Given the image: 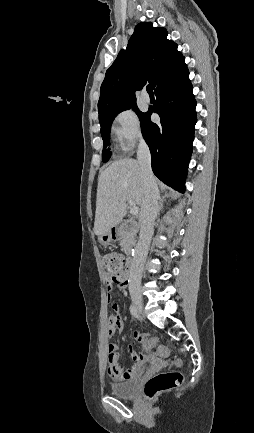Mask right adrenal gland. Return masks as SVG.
Listing matches in <instances>:
<instances>
[{
    "label": "right adrenal gland",
    "mask_w": 254,
    "mask_h": 433,
    "mask_svg": "<svg viewBox=\"0 0 254 433\" xmlns=\"http://www.w3.org/2000/svg\"><path fill=\"white\" fill-rule=\"evenodd\" d=\"M166 197L167 196H163L162 198H160V202H159V206H158V212H160L163 209V204L166 201Z\"/></svg>",
    "instance_id": "obj_1"
}]
</instances>
